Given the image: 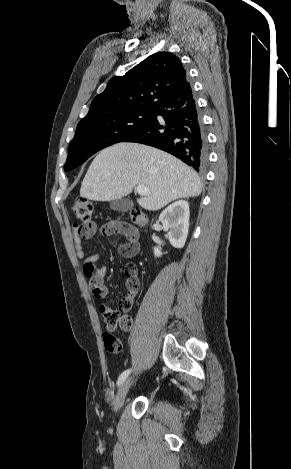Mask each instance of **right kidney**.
Here are the masks:
<instances>
[{"label":"right kidney","mask_w":291,"mask_h":469,"mask_svg":"<svg viewBox=\"0 0 291 469\" xmlns=\"http://www.w3.org/2000/svg\"><path fill=\"white\" fill-rule=\"evenodd\" d=\"M189 204L187 201L179 200L169 205L159 216L163 229L168 231V238L175 248L185 245L189 229ZM154 255L160 257L162 252L154 248Z\"/></svg>","instance_id":"right-kidney-1"}]
</instances>
